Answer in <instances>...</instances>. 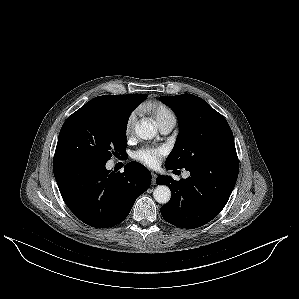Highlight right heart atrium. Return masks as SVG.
<instances>
[{"mask_svg": "<svg viewBox=\"0 0 299 299\" xmlns=\"http://www.w3.org/2000/svg\"><path fill=\"white\" fill-rule=\"evenodd\" d=\"M137 112L133 111L129 114V116L126 119V123H125V134L127 137H130L133 135L134 133V128H135V124L137 121Z\"/></svg>", "mask_w": 299, "mask_h": 299, "instance_id": "right-heart-atrium-1", "label": "right heart atrium"}]
</instances>
